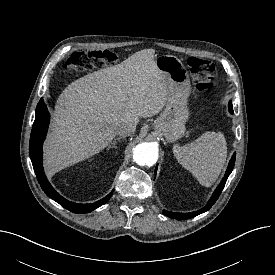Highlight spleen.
<instances>
[{"instance_id":"3e777b00","label":"spleen","mask_w":275,"mask_h":275,"mask_svg":"<svg viewBox=\"0 0 275 275\" xmlns=\"http://www.w3.org/2000/svg\"><path fill=\"white\" fill-rule=\"evenodd\" d=\"M178 162L205 187L218 178L227 158V143L220 132H205L196 140L173 147Z\"/></svg>"}]
</instances>
